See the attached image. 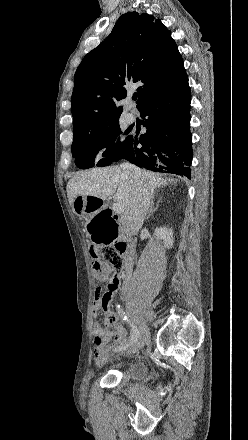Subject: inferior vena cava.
Returning a JSON list of instances; mask_svg holds the SVG:
<instances>
[{
  "instance_id": "602c4592",
  "label": "inferior vena cava",
  "mask_w": 248,
  "mask_h": 440,
  "mask_svg": "<svg viewBox=\"0 0 248 440\" xmlns=\"http://www.w3.org/2000/svg\"><path fill=\"white\" fill-rule=\"evenodd\" d=\"M123 172L136 183V189L131 203L125 209L121 218L123 229L128 235H134L143 225L150 207L151 192L144 181L142 172L130 163L120 165Z\"/></svg>"
}]
</instances>
